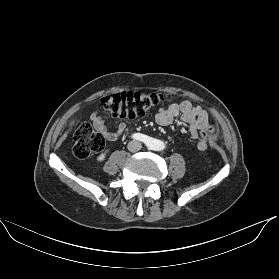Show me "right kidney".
Instances as JSON below:
<instances>
[{"label":"right kidney","instance_id":"obj_1","mask_svg":"<svg viewBox=\"0 0 279 279\" xmlns=\"http://www.w3.org/2000/svg\"><path fill=\"white\" fill-rule=\"evenodd\" d=\"M106 153H107V151H105L104 153L100 154V155L97 157V160H98V161H103V160L105 159Z\"/></svg>","mask_w":279,"mask_h":279}]
</instances>
